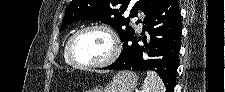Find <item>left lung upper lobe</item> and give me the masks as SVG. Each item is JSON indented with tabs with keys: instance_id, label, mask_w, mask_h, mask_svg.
Segmentation results:
<instances>
[{
	"instance_id": "1",
	"label": "left lung upper lobe",
	"mask_w": 225,
	"mask_h": 92,
	"mask_svg": "<svg viewBox=\"0 0 225 92\" xmlns=\"http://www.w3.org/2000/svg\"><path fill=\"white\" fill-rule=\"evenodd\" d=\"M164 0H72L66 9L60 31L67 25L83 19L101 21L115 28L121 41L132 38L135 31L129 27L130 17H136L138 10L147 15ZM128 7H132L128 18L123 14ZM137 21V23H139ZM126 26V28H123Z\"/></svg>"
}]
</instances>
